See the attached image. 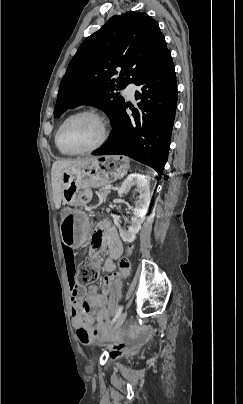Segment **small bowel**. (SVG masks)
<instances>
[{"instance_id": "c3829d8e", "label": "small bowel", "mask_w": 243, "mask_h": 404, "mask_svg": "<svg viewBox=\"0 0 243 404\" xmlns=\"http://www.w3.org/2000/svg\"><path fill=\"white\" fill-rule=\"evenodd\" d=\"M103 252H106L104 260L100 256ZM122 252V242L116 229L108 221H103L91 238L88 249L91 263L97 269L112 271L115 268V260L121 257ZM63 255L70 284L72 320L77 337L82 344H91L105 332L110 320V311L106 308L108 297L97 294L95 287H91L87 292L84 286L77 283L72 248L65 246ZM96 311L97 315L94 316Z\"/></svg>"}]
</instances>
